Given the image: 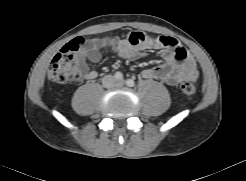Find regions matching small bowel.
<instances>
[{
	"label": "small bowel",
	"mask_w": 246,
	"mask_h": 181,
	"mask_svg": "<svg viewBox=\"0 0 246 181\" xmlns=\"http://www.w3.org/2000/svg\"><path fill=\"white\" fill-rule=\"evenodd\" d=\"M152 45L160 50L164 61L158 66L144 69L142 71L144 78L160 80L169 86H177L185 80L198 77L195 58L175 38L161 36ZM104 47H109L119 57L126 59H135L142 54V47L133 45L129 37L118 41L115 45L111 44L109 38H95L86 42L79 52V57L93 63L99 62L100 50ZM84 76L88 79H96L98 72L88 70L84 66Z\"/></svg>",
	"instance_id": "obj_1"
}]
</instances>
